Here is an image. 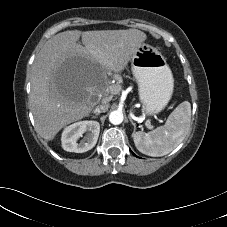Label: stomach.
Instances as JSON below:
<instances>
[{
	"mask_svg": "<svg viewBox=\"0 0 227 227\" xmlns=\"http://www.w3.org/2000/svg\"><path fill=\"white\" fill-rule=\"evenodd\" d=\"M131 69L145 114L161 112L170 101L174 87L166 58L154 47L143 43L131 57Z\"/></svg>",
	"mask_w": 227,
	"mask_h": 227,
	"instance_id": "1",
	"label": "stomach"
}]
</instances>
